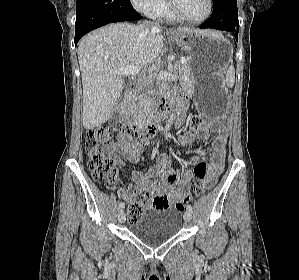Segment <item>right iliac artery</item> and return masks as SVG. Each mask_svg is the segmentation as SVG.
<instances>
[{"label":"right iliac artery","mask_w":299,"mask_h":280,"mask_svg":"<svg viewBox=\"0 0 299 280\" xmlns=\"http://www.w3.org/2000/svg\"><path fill=\"white\" fill-rule=\"evenodd\" d=\"M124 207H125L124 202H120V203H119V208L122 209V208H124Z\"/></svg>","instance_id":"obj_1"}]
</instances>
